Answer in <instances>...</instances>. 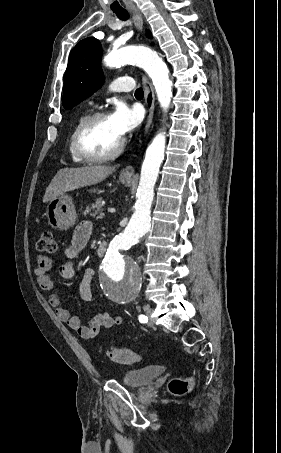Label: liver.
Here are the masks:
<instances>
[{
    "label": "liver",
    "mask_w": 281,
    "mask_h": 453,
    "mask_svg": "<svg viewBox=\"0 0 281 453\" xmlns=\"http://www.w3.org/2000/svg\"><path fill=\"white\" fill-rule=\"evenodd\" d=\"M116 166H106V164H98V166H78V168H60L57 174L53 176L50 184H48L43 202H48L68 190H75L80 186H90L97 184L107 178L109 174L115 172Z\"/></svg>",
    "instance_id": "6515ba94"
}]
</instances>
